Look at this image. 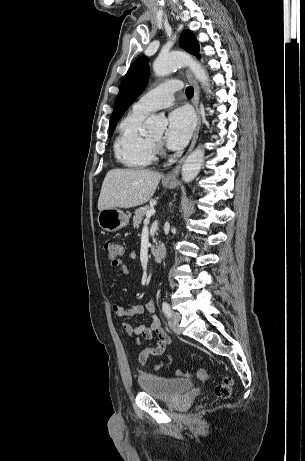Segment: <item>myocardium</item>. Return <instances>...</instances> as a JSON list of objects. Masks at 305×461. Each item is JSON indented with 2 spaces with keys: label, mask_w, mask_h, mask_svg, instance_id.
Here are the masks:
<instances>
[{
  "label": "myocardium",
  "mask_w": 305,
  "mask_h": 461,
  "mask_svg": "<svg viewBox=\"0 0 305 461\" xmlns=\"http://www.w3.org/2000/svg\"><path fill=\"white\" fill-rule=\"evenodd\" d=\"M149 142L151 146L153 147L155 153L158 152L161 149V143L154 141L152 138H149Z\"/></svg>",
  "instance_id": "1"
}]
</instances>
